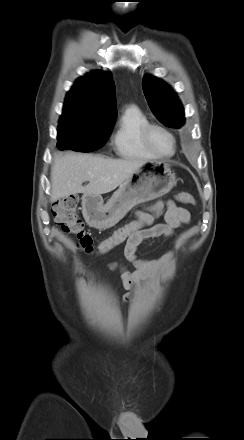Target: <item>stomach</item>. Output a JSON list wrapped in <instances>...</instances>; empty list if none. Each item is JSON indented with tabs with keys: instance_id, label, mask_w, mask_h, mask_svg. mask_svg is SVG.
<instances>
[{
	"instance_id": "0dacf381",
	"label": "stomach",
	"mask_w": 244,
	"mask_h": 440,
	"mask_svg": "<svg viewBox=\"0 0 244 440\" xmlns=\"http://www.w3.org/2000/svg\"><path fill=\"white\" fill-rule=\"evenodd\" d=\"M176 175L168 163L145 162L131 174L104 204L101 196L82 197L86 222L97 229H108L118 223L133 207L167 194L176 185Z\"/></svg>"
}]
</instances>
